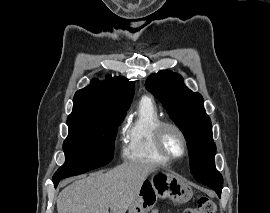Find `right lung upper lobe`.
Here are the masks:
<instances>
[{"mask_svg":"<svg viewBox=\"0 0 270 213\" xmlns=\"http://www.w3.org/2000/svg\"><path fill=\"white\" fill-rule=\"evenodd\" d=\"M134 95V84L123 77L106 76L101 82L76 92L73 111L68 120L88 118H110L125 113Z\"/></svg>","mask_w":270,"mask_h":213,"instance_id":"right-lung-upper-lobe-1","label":"right lung upper lobe"}]
</instances>
